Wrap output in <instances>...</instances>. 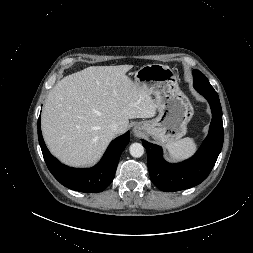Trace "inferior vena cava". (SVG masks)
Wrapping results in <instances>:
<instances>
[{
	"label": "inferior vena cava",
	"mask_w": 253,
	"mask_h": 253,
	"mask_svg": "<svg viewBox=\"0 0 253 253\" xmlns=\"http://www.w3.org/2000/svg\"><path fill=\"white\" fill-rule=\"evenodd\" d=\"M108 129L113 133H117L119 131V125L117 123H111Z\"/></svg>",
	"instance_id": "602c4592"
}]
</instances>
